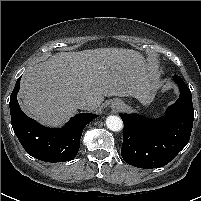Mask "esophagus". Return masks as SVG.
<instances>
[{
    "label": "esophagus",
    "mask_w": 201,
    "mask_h": 201,
    "mask_svg": "<svg viewBox=\"0 0 201 201\" xmlns=\"http://www.w3.org/2000/svg\"><path fill=\"white\" fill-rule=\"evenodd\" d=\"M111 108L115 112L120 111L123 108V102L120 99H116L111 103Z\"/></svg>",
    "instance_id": "34e87169"
}]
</instances>
